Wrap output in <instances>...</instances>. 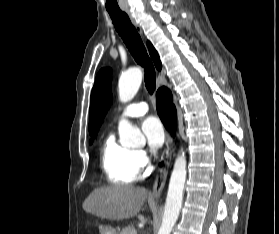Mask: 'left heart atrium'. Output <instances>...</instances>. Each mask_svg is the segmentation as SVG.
I'll return each mask as SVG.
<instances>
[{
  "label": "left heart atrium",
  "instance_id": "39dd6f15",
  "mask_svg": "<svg viewBox=\"0 0 279 234\" xmlns=\"http://www.w3.org/2000/svg\"><path fill=\"white\" fill-rule=\"evenodd\" d=\"M149 147L160 148L165 140V131L160 120L154 116L145 118L141 125Z\"/></svg>",
  "mask_w": 279,
  "mask_h": 234
}]
</instances>
